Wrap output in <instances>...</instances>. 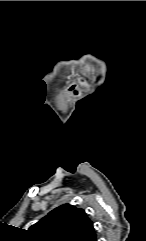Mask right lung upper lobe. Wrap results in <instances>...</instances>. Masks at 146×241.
I'll use <instances>...</instances> for the list:
<instances>
[{
	"label": "right lung upper lobe",
	"mask_w": 146,
	"mask_h": 241,
	"mask_svg": "<svg viewBox=\"0 0 146 241\" xmlns=\"http://www.w3.org/2000/svg\"><path fill=\"white\" fill-rule=\"evenodd\" d=\"M31 241H97L93 222L85 211L61 205L28 229Z\"/></svg>",
	"instance_id": "cb5924a9"
}]
</instances>
